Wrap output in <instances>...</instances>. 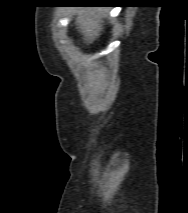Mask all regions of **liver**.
<instances>
[{"mask_svg": "<svg viewBox=\"0 0 188 213\" xmlns=\"http://www.w3.org/2000/svg\"><path fill=\"white\" fill-rule=\"evenodd\" d=\"M106 11L102 9L78 10L76 26L83 35L84 42L89 44L95 41L103 30V16Z\"/></svg>", "mask_w": 188, "mask_h": 213, "instance_id": "obj_1", "label": "liver"}]
</instances>
